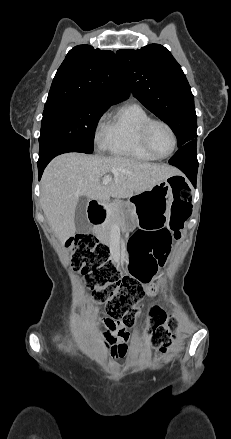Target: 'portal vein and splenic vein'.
<instances>
[{
	"label": "portal vein and splenic vein",
	"mask_w": 231,
	"mask_h": 439,
	"mask_svg": "<svg viewBox=\"0 0 231 439\" xmlns=\"http://www.w3.org/2000/svg\"><path fill=\"white\" fill-rule=\"evenodd\" d=\"M111 180H112V178H111L110 176H105V177L103 178L102 183H103V184H108V183L111 182Z\"/></svg>",
	"instance_id": "1"
}]
</instances>
